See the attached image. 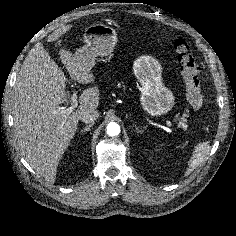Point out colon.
I'll return each mask as SVG.
<instances>
[{"instance_id":"5ec220e1","label":"colon","mask_w":236,"mask_h":236,"mask_svg":"<svg viewBox=\"0 0 236 236\" xmlns=\"http://www.w3.org/2000/svg\"><path fill=\"white\" fill-rule=\"evenodd\" d=\"M174 50L180 65V73L185 83L186 97L194 109H201L204 105V96L201 91L199 67L189 44L182 38L172 40Z\"/></svg>"}]
</instances>
